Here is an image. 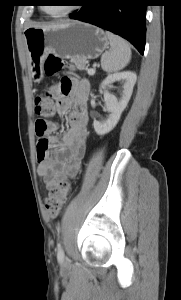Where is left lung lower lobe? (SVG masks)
Segmentation results:
<instances>
[{
    "label": "left lung lower lobe",
    "instance_id": "obj_1",
    "mask_svg": "<svg viewBox=\"0 0 181 300\" xmlns=\"http://www.w3.org/2000/svg\"><path fill=\"white\" fill-rule=\"evenodd\" d=\"M81 9L70 15L111 31L144 53L146 0H83Z\"/></svg>",
    "mask_w": 181,
    "mask_h": 300
}]
</instances>
